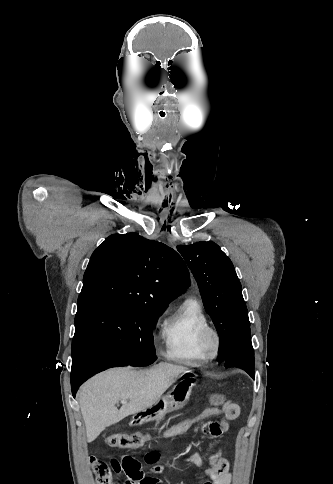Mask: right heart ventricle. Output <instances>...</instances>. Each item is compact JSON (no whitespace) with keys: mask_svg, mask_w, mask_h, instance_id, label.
I'll return each mask as SVG.
<instances>
[{"mask_svg":"<svg viewBox=\"0 0 333 484\" xmlns=\"http://www.w3.org/2000/svg\"><path fill=\"white\" fill-rule=\"evenodd\" d=\"M208 326L209 320L201 303L194 298L186 299L162 324L164 355L192 366L205 363L207 357L200 349L199 339Z\"/></svg>","mask_w":333,"mask_h":484,"instance_id":"obj_1","label":"right heart ventricle"}]
</instances>
